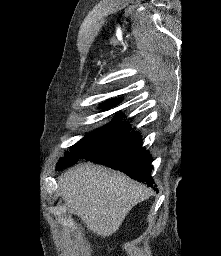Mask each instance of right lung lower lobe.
Returning a JSON list of instances; mask_svg holds the SVG:
<instances>
[{
  "mask_svg": "<svg viewBox=\"0 0 221 256\" xmlns=\"http://www.w3.org/2000/svg\"><path fill=\"white\" fill-rule=\"evenodd\" d=\"M84 159L120 170L156 190L151 178V156L143 149L138 132H128Z\"/></svg>",
  "mask_w": 221,
  "mask_h": 256,
  "instance_id": "obj_1",
  "label": "right lung lower lobe"
}]
</instances>
